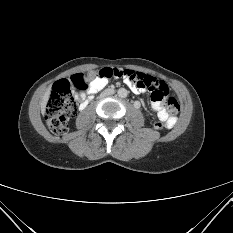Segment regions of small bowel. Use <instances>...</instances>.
Instances as JSON below:
<instances>
[{
	"instance_id": "obj_1",
	"label": "small bowel",
	"mask_w": 233,
	"mask_h": 233,
	"mask_svg": "<svg viewBox=\"0 0 233 233\" xmlns=\"http://www.w3.org/2000/svg\"><path fill=\"white\" fill-rule=\"evenodd\" d=\"M107 83H108V78H105V77L95 78L93 80L89 90L86 93H81V94L78 95V98L80 100V108L84 109L88 105L91 95H93V94L97 93L98 91H100L102 88H104L107 85ZM130 86H131L133 92H135V93L139 92V88H137L135 86H132V85H130ZM154 103H155V108L158 111L159 119L161 121L166 122L169 125V127L173 126L175 124V119L170 118L167 115L164 107L160 103H158V102H154Z\"/></svg>"
}]
</instances>
